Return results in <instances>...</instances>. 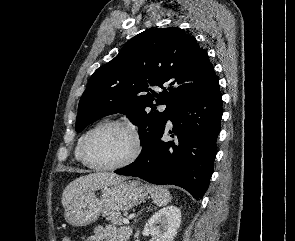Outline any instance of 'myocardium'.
I'll return each instance as SVG.
<instances>
[{
    "mask_svg": "<svg viewBox=\"0 0 295 241\" xmlns=\"http://www.w3.org/2000/svg\"><path fill=\"white\" fill-rule=\"evenodd\" d=\"M112 127H120L128 130L134 140V149L131 155L122 162L112 164V165H102L93 162L89 155V148L90 144L93 139L96 137L97 134L102 132L105 129L112 128ZM143 149V142L142 138L138 132V130L130 123L121 120H110L105 121L95 128H93L90 133L87 135L86 139L83 142L82 149H81V158L82 162L91 169L99 170V171H113L124 168L126 166L131 165L134 163L140 156Z\"/></svg>",
    "mask_w": 295,
    "mask_h": 241,
    "instance_id": "obj_1",
    "label": "myocardium"
}]
</instances>
